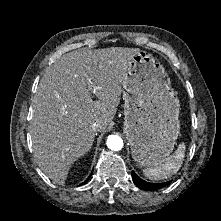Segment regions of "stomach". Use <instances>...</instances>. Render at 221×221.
<instances>
[{
  "label": "stomach",
  "mask_w": 221,
  "mask_h": 221,
  "mask_svg": "<svg viewBox=\"0 0 221 221\" xmlns=\"http://www.w3.org/2000/svg\"><path fill=\"white\" fill-rule=\"evenodd\" d=\"M124 133L140 168L159 166L174 149L180 133L179 100L161 62L137 53L123 81Z\"/></svg>",
  "instance_id": "0dacf381"
}]
</instances>
